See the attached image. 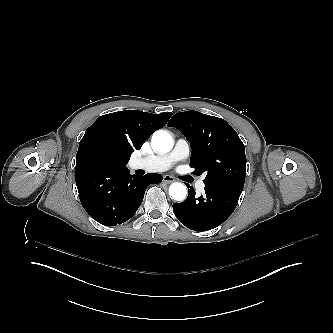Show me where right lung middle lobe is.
<instances>
[{
  "label": "right lung middle lobe",
  "instance_id": "1",
  "mask_svg": "<svg viewBox=\"0 0 333 333\" xmlns=\"http://www.w3.org/2000/svg\"><path fill=\"white\" fill-rule=\"evenodd\" d=\"M86 164L103 168H122L127 163H120L103 149H93L87 157Z\"/></svg>",
  "mask_w": 333,
  "mask_h": 333
}]
</instances>
